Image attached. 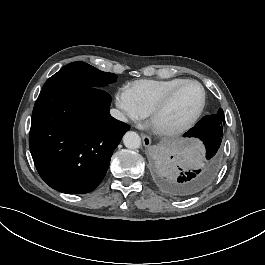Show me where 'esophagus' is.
<instances>
[{
  "label": "esophagus",
  "instance_id": "34e87169",
  "mask_svg": "<svg viewBox=\"0 0 265 265\" xmlns=\"http://www.w3.org/2000/svg\"><path fill=\"white\" fill-rule=\"evenodd\" d=\"M141 137H142V140H143V145L145 147H149L150 144H151V138L148 135L144 134V133H141Z\"/></svg>",
  "mask_w": 265,
  "mask_h": 265
}]
</instances>
